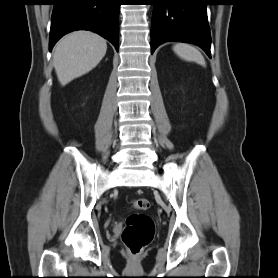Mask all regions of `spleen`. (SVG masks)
<instances>
[{
	"mask_svg": "<svg viewBox=\"0 0 278 278\" xmlns=\"http://www.w3.org/2000/svg\"><path fill=\"white\" fill-rule=\"evenodd\" d=\"M172 49L180 58L206 66L203 55L194 46L187 43H177Z\"/></svg>",
	"mask_w": 278,
	"mask_h": 278,
	"instance_id": "1",
	"label": "spleen"
}]
</instances>
